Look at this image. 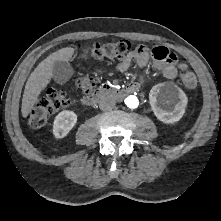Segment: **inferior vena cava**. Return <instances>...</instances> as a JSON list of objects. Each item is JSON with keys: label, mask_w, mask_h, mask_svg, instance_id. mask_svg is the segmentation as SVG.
<instances>
[{"label": "inferior vena cava", "mask_w": 221, "mask_h": 221, "mask_svg": "<svg viewBox=\"0 0 221 221\" xmlns=\"http://www.w3.org/2000/svg\"><path fill=\"white\" fill-rule=\"evenodd\" d=\"M116 101L110 96L103 97L99 102V108L103 111L112 110L115 107Z\"/></svg>", "instance_id": "602c4592"}]
</instances>
